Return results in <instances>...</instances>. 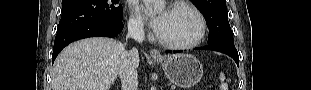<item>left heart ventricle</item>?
<instances>
[{"mask_svg": "<svg viewBox=\"0 0 311 90\" xmlns=\"http://www.w3.org/2000/svg\"><path fill=\"white\" fill-rule=\"evenodd\" d=\"M164 14L165 22L158 32L161 38L170 42L184 43L196 37L199 23L194 14L185 9L168 10Z\"/></svg>", "mask_w": 311, "mask_h": 90, "instance_id": "b2bd125f", "label": "left heart ventricle"}]
</instances>
